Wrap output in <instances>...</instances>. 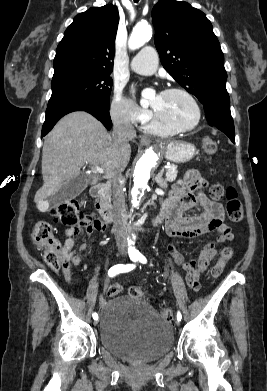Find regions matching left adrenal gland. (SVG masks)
I'll use <instances>...</instances> for the list:
<instances>
[{"mask_svg": "<svg viewBox=\"0 0 267 391\" xmlns=\"http://www.w3.org/2000/svg\"><path fill=\"white\" fill-rule=\"evenodd\" d=\"M163 173H164V168H162V170H160V172L157 174V176L155 178L156 183L162 188H164L166 186V181L163 178Z\"/></svg>", "mask_w": 267, "mask_h": 391, "instance_id": "1", "label": "left adrenal gland"}]
</instances>
